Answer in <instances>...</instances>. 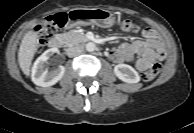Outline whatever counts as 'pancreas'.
Returning a JSON list of instances; mask_svg holds the SVG:
<instances>
[{
	"mask_svg": "<svg viewBox=\"0 0 194 133\" xmlns=\"http://www.w3.org/2000/svg\"><path fill=\"white\" fill-rule=\"evenodd\" d=\"M62 37L64 38L67 46L77 45L87 40L83 33H79L77 31H69L62 34Z\"/></svg>",
	"mask_w": 194,
	"mask_h": 133,
	"instance_id": "obj_1",
	"label": "pancreas"
}]
</instances>
